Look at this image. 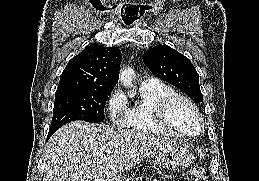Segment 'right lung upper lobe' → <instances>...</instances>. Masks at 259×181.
<instances>
[{
	"label": "right lung upper lobe",
	"instance_id": "right-lung-upper-lobe-1",
	"mask_svg": "<svg viewBox=\"0 0 259 181\" xmlns=\"http://www.w3.org/2000/svg\"><path fill=\"white\" fill-rule=\"evenodd\" d=\"M121 51L93 44L73 57L61 74L57 89L112 91L120 69Z\"/></svg>",
	"mask_w": 259,
	"mask_h": 181
}]
</instances>
